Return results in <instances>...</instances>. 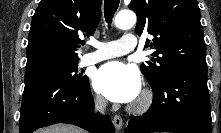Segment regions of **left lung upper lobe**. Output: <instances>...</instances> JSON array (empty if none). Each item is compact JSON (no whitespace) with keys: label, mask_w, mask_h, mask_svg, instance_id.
<instances>
[{"label":"left lung upper lobe","mask_w":221,"mask_h":133,"mask_svg":"<svg viewBox=\"0 0 221 133\" xmlns=\"http://www.w3.org/2000/svg\"><path fill=\"white\" fill-rule=\"evenodd\" d=\"M128 7L138 16L136 33L153 36L146 41V47L155 50L152 62L140 66L152 88L177 70L207 73L206 45L196 0H131Z\"/></svg>","instance_id":"1"}]
</instances>
